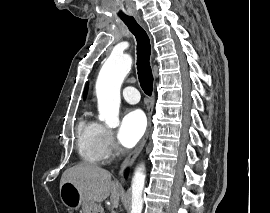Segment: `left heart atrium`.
Returning a JSON list of instances; mask_svg holds the SVG:
<instances>
[{
  "label": "left heart atrium",
  "instance_id": "obj_1",
  "mask_svg": "<svg viewBox=\"0 0 270 213\" xmlns=\"http://www.w3.org/2000/svg\"><path fill=\"white\" fill-rule=\"evenodd\" d=\"M146 126V118L142 111L138 109L128 111L123 116L118 129L119 143L125 148L135 146L144 135Z\"/></svg>",
  "mask_w": 270,
  "mask_h": 213
}]
</instances>
